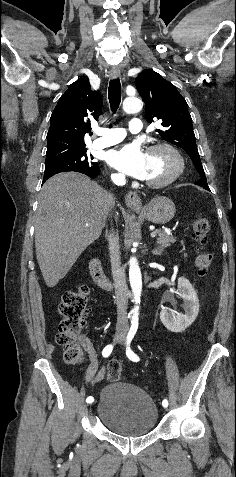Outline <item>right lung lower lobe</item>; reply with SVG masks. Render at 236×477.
<instances>
[{
    "instance_id": "right-lung-lower-lobe-1",
    "label": "right lung lower lobe",
    "mask_w": 236,
    "mask_h": 477,
    "mask_svg": "<svg viewBox=\"0 0 236 477\" xmlns=\"http://www.w3.org/2000/svg\"><path fill=\"white\" fill-rule=\"evenodd\" d=\"M76 172H80V173H82V174H85V175L89 176L90 178H96V177L99 175V173H100V168L96 169V170L93 171L92 173L85 172V171H80V170H79V171H76ZM51 176H53V175L44 176V178H43V183H44L48 178H50Z\"/></svg>"
}]
</instances>
